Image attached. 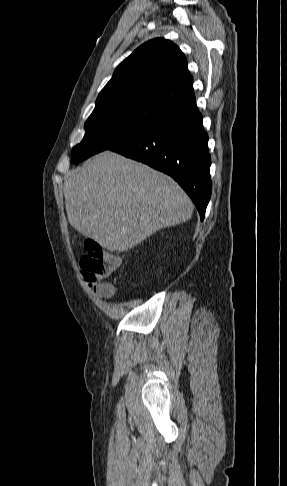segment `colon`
Instances as JSON below:
<instances>
[{
  "instance_id": "obj_1",
  "label": "colon",
  "mask_w": 287,
  "mask_h": 486,
  "mask_svg": "<svg viewBox=\"0 0 287 486\" xmlns=\"http://www.w3.org/2000/svg\"><path fill=\"white\" fill-rule=\"evenodd\" d=\"M119 266L120 262L116 255L105 252L94 240L86 241L85 254L80 259L81 272L86 282L100 296H113L115 289L108 279Z\"/></svg>"
}]
</instances>
